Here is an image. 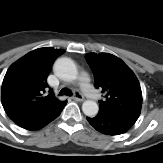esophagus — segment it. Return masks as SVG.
<instances>
[{"mask_svg": "<svg viewBox=\"0 0 163 163\" xmlns=\"http://www.w3.org/2000/svg\"><path fill=\"white\" fill-rule=\"evenodd\" d=\"M72 99L76 101H82L84 99V96L80 92H73Z\"/></svg>", "mask_w": 163, "mask_h": 163, "instance_id": "obj_1", "label": "esophagus"}]
</instances>
